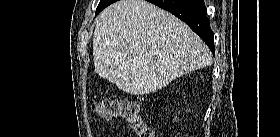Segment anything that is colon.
<instances>
[{"label": "colon", "mask_w": 280, "mask_h": 137, "mask_svg": "<svg viewBox=\"0 0 280 137\" xmlns=\"http://www.w3.org/2000/svg\"><path fill=\"white\" fill-rule=\"evenodd\" d=\"M92 110L103 119L124 120L138 137H156L155 130L144 122L136 103L125 99L104 98L93 103Z\"/></svg>", "instance_id": "5ec220e1"}]
</instances>
